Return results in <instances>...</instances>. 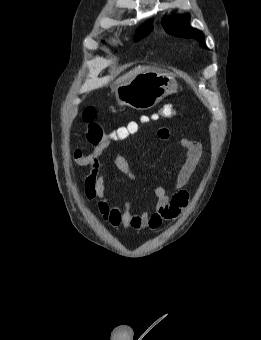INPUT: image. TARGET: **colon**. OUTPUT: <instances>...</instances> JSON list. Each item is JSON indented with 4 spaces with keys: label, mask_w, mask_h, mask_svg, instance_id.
<instances>
[{
    "label": "colon",
    "mask_w": 261,
    "mask_h": 340,
    "mask_svg": "<svg viewBox=\"0 0 261 340\" xmlns=\"http://www.w3.org/2000/svg\"><path fill=\"white\" fill-rule=\"evenodd\" d=\"M178 115V107L171 103L164 104L158 116L163 119H172ZM157 116V117H158ZM82 118L86 125V138L89 143L96 146L101 144L108 135H106L103 127L96 122V110L92 106H87L82 112ZM116 140H120L118 129L112 132Z\"/></svg>",
    "instance_id": "obj_1"
}]
</instances>
